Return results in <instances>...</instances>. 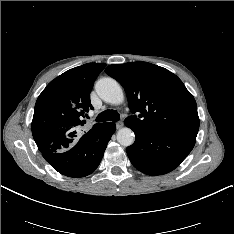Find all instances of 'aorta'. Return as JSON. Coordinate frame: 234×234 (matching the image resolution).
<instances>
[{"label":"aorta","instance_id":"obj_1","mask_svg":"<svg viewBox=\"0 0 234 234\" xmlns=\"http://www.w3.org/2000/svg\"><path fill=\"white\" fill-rule=\"evenodd\" d=\"M95 90L99 97L110 104H121L124 101V93L120 84L113 78H102L97 81ZM133 131L124 127L117 132V141L122 146H130L134 143Z\"/></svg>","mask_w":234,"mask_h":234}]
</instances>
